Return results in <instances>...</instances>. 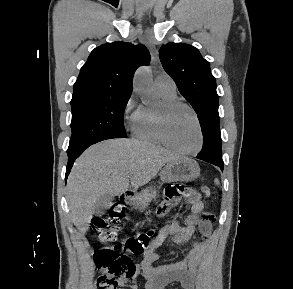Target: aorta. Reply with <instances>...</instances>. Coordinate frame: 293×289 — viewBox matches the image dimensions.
Instances as JSON below:
<instances>
[{
  "label": "aorta",
  "mask_w": 293,
  "mask_h": 289,
  "mask_svg": "<svg viewBox=\"0 0 293 289\" xmlns=\"http://www.w3.org/2000/svg\"><path fill=\"white\" fill-rule=\"evenodd\" d=\"M133 86L136 91L141 93L142 101L145 104L152 103L155 100L152 75L149 67H140L135 73Z\"/></svg>",
  "instance_id": "1"
}]
</instances>
